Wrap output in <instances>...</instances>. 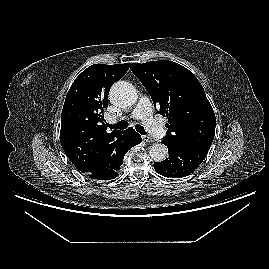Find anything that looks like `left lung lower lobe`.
<instances>
[{
	"label": "left lung lower lobe",
	"instance_id": "1",
	"mask_svg": "<svg viewBox=\"0 0 269 269\" xmlns=\"http://www.w3.org/2000/svg\"><path fill=\"white\" fill-rule=\"evenodd\" d=\"M168 147L169 157L162 162H155L154 169L157 173L172 178L188 176L205 159L209 149L179 148L161 141Z\"/></svg>",
	"mask_w": 269,
	"mask_h": 269
}]
</instances>
